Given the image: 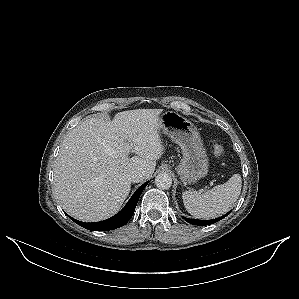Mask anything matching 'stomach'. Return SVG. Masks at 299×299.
Listing matches in <instances>:
<instances>
[{"instance_id": "0dacf381", "label": "stomach", "mask_w": 299, "mask_h": 299, "mask_svg": "<svg viewBox=\"0 0 299 299\" xmlns=\"http://www.w3.org/2000/svg\"><path fill=\"white\" fill-rule=\"evenodd\" d=\"M159 119V130L181 148L183 158L177 166L181 181L195 183L206 176L209 169L208 157L195 125L176 111H166Z\"/></svg>"}]
</instances>
